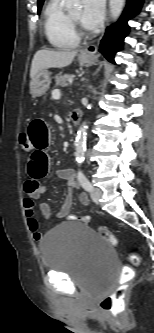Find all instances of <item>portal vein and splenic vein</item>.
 Here are the masks:
<instances>
[{
	"instance_id": "1",
	"label": "portal vein and splenic vein",
	"mask_w": 154,
	"mask_h": 333,
	"mask_svg": "<svg viewBox=\"0 0 154 333\" xmlns=\"http://www.w3.org/2000/svg\"><path fill=\"white\" fill-rule=\"evenodd\" d=\"M52 96H53L54 98H60V96H61V92H60V90H54V91L52 92Z\"/></svg>"
}]
</instances>
